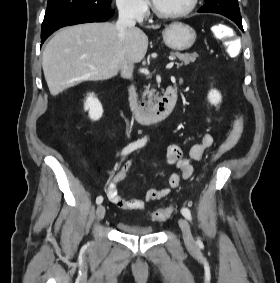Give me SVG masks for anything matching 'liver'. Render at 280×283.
Masks as SVG:
<instances>
[{"label": "liver", "instance_id": "liver-1", "mask_svg": "<svg viewBox=\"0 0 280 283\" xmlns=\"http://www.w3.org/2000/svg\"><path fill=\"white\" fill-rule=\"evenodd\" d=\"M158 29L159 26H152ZM148 49V37L137 27L128 28L120 42L114 23H86L60 30L43 51V72L53 96L83 81L107 80L124 62H141Z\"/></svg>", "mask_w": 280, "mask_h": 283}]
</instances>
